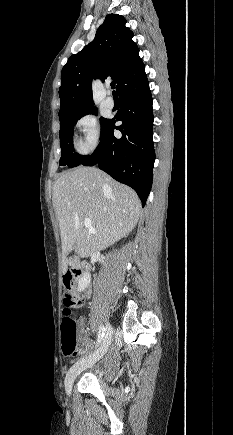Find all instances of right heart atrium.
<instances>
[{"label": "right heart atrium", "instance_id": "1", "mask_svg": "<svg viewBox=\"0 0 233 435\" xmlns=\"http://www.w3.org/2000/svg\"><path fill=\"white\" fill-rule=\"evenodd\" d=\"M77 127L82 132L83 138L78 141V150L88 153L96 148L100 140V129L97 117L88 113L77 121Z\"/></svg>", "mask_w": 233, "mask_h": 435}]
</instances>
